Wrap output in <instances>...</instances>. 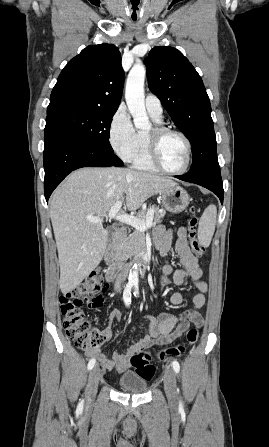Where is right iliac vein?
I'll list each match as a JSON object with an SVG mask.
<instances>
[{"instance_id":"right-iliac-vein-1","label":"right iliac vein","mask_w":269,"mask_h":447,"mask_svg":"<svg viewBox=\"0 0 269 447\" xmlns=\"http://www.w3.org/2000/svg\"><path fill=\"white\" fill-rule=\"evenodd\" d=\"M100 379V369L98 366H95L89 374L85 398L87 405H92L95 400V396L97 393V386Z\"/></svg>"}]
</instances>
